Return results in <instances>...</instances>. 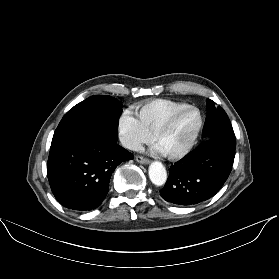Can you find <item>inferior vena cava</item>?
I'll return each mask as SVG.
<instances>
[{
	"instance_id": "inferior-vena-cava-1",
	"label": "inferior vena cava",
	"mask_w": 279,
	"mask_h": 279,
	"mask_svg": "<svg viewBox=\"0 0 279 279\" xmlns=\"http://www.w3.org/2000/svg\"><path fill=\"white\" fill-rule=\"evenodd\" d=\"M122 145L130 150L139 151L141 150L142 146L141 143L137 140L133 139H122Z\"/></svg>"
}]
</instances>
